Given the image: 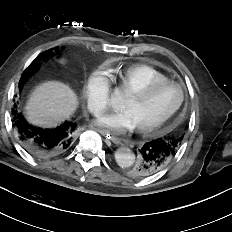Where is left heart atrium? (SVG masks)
I'll list each match as a JSON object with an SVG mask.
<instances>
[{"instance_id": "1", "label": "left heart atrium", "mask_w": 232, "mask_h": 232, "mask_svg": "<svg viewBox=\"0 0 232 232\" xmlns=\"http://www.w3.org/2000/svg\"><path fill=\"white\" fill-rule=\"evenodd\" d=\"M95 123L114 135H122L136 128V122L132 114L123 110L115 113H103L98 116Z\"/></svg>"}]
</instances>
